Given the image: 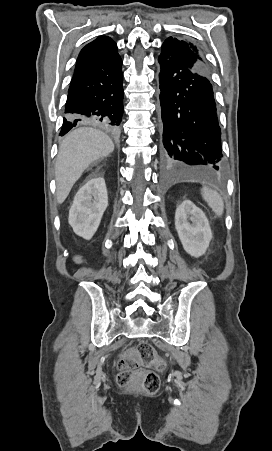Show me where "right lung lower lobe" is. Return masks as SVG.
Segmentation results:
<instances>
[{"instance_id": "1", "label": "right lung lower lobe", "mask_w": 272, "mask_h": 451, "mask_svg": "<svg viewBox=\"0 0 272 451\" xmlns=\"http://www.w3.org/2000/svg\"><path fill=\"white\" fill-rule=\"evenodd\" d=\"M122 59L108 57L76 65L68 90L60 135L78 124H94L118 133L123 116Z\"/></svg>"}]
</instances>
